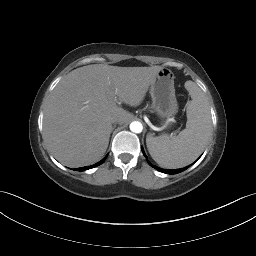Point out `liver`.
<instances>
[{
  "mask_svg": "<svg viewBox=\"0 0 256 256\" xmlns=\"http://www.w3.org/2000/svg\"><path fill=\"white\" fill-rule=\"evenodd\" d=\"M161 70L93 64L68 73L44 110V138L55 158L72 168L100 160L109 144L112 118L118 116L120 124L131 118L117 102L140 105Z\"/></svg>",
  "mask_w": 256,
  "mask_h": 256,
  "instance_id": "liver-1",
  "label": "liver"
}]
</instances>
